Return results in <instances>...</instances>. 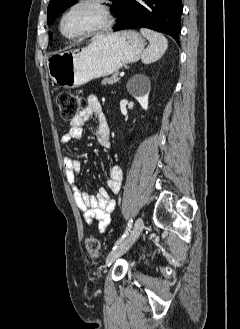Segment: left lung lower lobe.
Masks as SVG:
<instances>
[{"label":"left lung lower lobe","mask_w":240,"mask_h":329,"mask_svg":"<svg viewBox=\"0 0 240 329\" xmlns=\"http://www.w3.org/2000/svg\"><path fill=\"white\" fill-rule=\"evenodd\" d=\"M181 0H126L114 31L149 28L170 35L179 44Z\"/></svg>","instance_id":"obj_1"}]
</instances>
